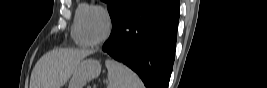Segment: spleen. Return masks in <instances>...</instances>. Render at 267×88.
Listing matches in <instances>:
<instances>
[{"mask_svg":"<svg viewBox=\"0 0 267 88\" xmlns=\"http://www.w3.org/2000/svg\"><path fill=\"white\" fill-rule=\"evenodd\" d=\"M105 65L109 80L107 88H144V84L138 75L122 63L107 59Z\"/></svg>","mask_w":267,"mask_h":88,"instance_id":"obj_1","label":"spleen"}]
</instances>
